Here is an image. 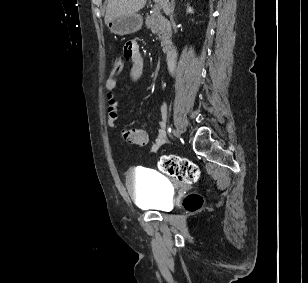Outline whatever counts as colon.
Here are the masks:
<instances>
[{
  "label": "colon",
  "instance_id": "colon-1",
  "mask_svg": "<svg viewBox=\"0 0 308 283\" xmlns=\"http://www.w3.org/2000/svg\"><path fill=\"white\" fill-rule=\"evenodd\" d=\"M123 69V61L116 58L113 62L112 73L119 74ZM159 168L165 174L177 180L192 184L200 179V170L192 161L174 155H166L160 158ZM201 204L196 195H189L184 200V205L190 210H196Z\"/></svg>",
  "mask_w": 308,
  "mask_h": 283
}]
</instances>
